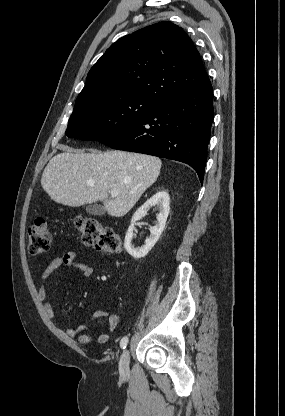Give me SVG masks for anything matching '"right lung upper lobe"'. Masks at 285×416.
Wrapping results in <instances>:
<instances>
[{
  "mask_svg": "<svg viewBox=\"0 0 285 416\" xmlns=\"http://www.w3.org/2000/svg\"><path fill=\"white\" fill-rule=\"evenodd\" d=\"M208 84L190 37L177 25L163 21L112 44L89 71L74 110L126 97L160 105Z\"/></svg>",
  "mask_w": 285,
  "mask_h": 416,
  "instance_id": "obj_1",
  "label": "right lung upper lobe"
}]
</instances>
